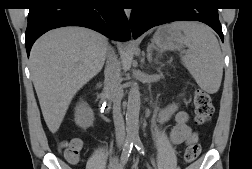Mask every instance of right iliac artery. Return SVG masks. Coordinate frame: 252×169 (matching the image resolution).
Instances as JSON below:
<instances>
[{"label": "right iliac artery", "instance_id": "right-iliac-artery-1", "mask_svg": "<svg viewBox=\"0 0 252 169\" xmlns=\"http://www.w3.org/2000/svg\"><path fill=\"white\" fill-rule=\"evenodd\" d=\"M133 144H134L133 140L128 139L125 141V144H124V147L122 150V154H121L122 163L127 162L128 158L130 156L131 150L133 148Z\"/></svg>", "mask_w": 252, "mask_h": 169}]
</instances>
